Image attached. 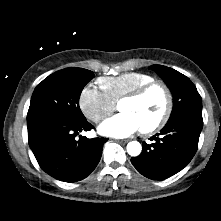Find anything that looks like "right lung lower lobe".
Wrapping results in <instances>:
<instances>
[{"instance_id": "obj_1", "label": "right lung lower lobe", "mask_w": 221, "mask_h": 221, "mask_svg": "<svg viewBox=\"0 0 221 221\" xmlns=\"http://www.w3.org/2000/svg\"><path fill=\"white\" fill-rule=\"evenodd\" d=\"M93 128L86 118H49L28 127V143L44 172L60 181L76 182L95 169L107 141L79 135Z\"/></svg>"}]
</instances>
